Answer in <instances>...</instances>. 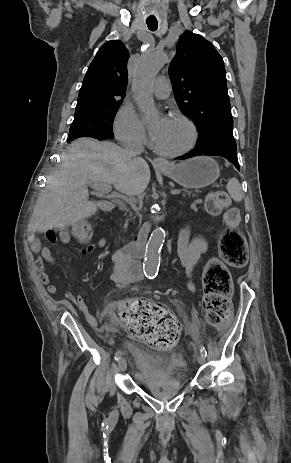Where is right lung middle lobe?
I'll return each mask as SVG.
<instances>
[{"label": "right lung middle lobe", "mask_w": 291, "mask_h": 463, "mask_svg": "<svg viewBox=\"0 0 291 463\" xmlns=\"http://www.w3.org/2000/svg\"><path fill=\"white\" fill-rule=\"evenodd\" d=\"M121 102H110L96 110L75 116L69 130L67 142L80 137H91L98 140L114 137L112 124Z\"/></svg>", "instance_id": "right-lung-middle-lobe-1"}]
</instances>
